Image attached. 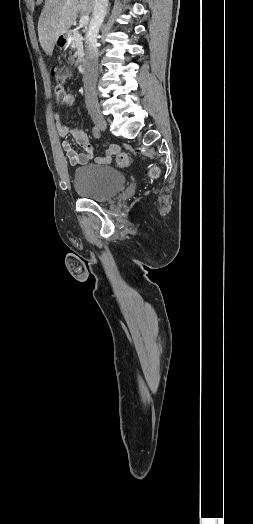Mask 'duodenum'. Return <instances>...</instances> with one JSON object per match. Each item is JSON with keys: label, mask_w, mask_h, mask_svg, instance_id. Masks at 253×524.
Segmentation results:
<instances>
[{"label": "duodenum", "mask_w": 253, "mask_h": 524, "mask_svg": "<svg viewBox=\"0 0 253 524\" xmlns=\"http://www.w3.org/2000/svg\"><path fill=\"white\" fill-rule=\"evenodd\" d=\"M76 68H77L78 72H80V73H84L86 71L84 58L80 57V58L77 59V61H76Z\"/></svg>", "instance_id": "obj_1"}]
</instances>
